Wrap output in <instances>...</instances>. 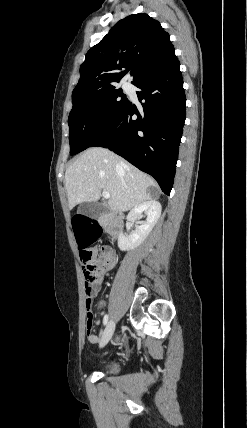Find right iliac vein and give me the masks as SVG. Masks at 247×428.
I'll return each instance as SVG.
<instances>
[{"label": "right iliac vein", "mask_w": 247, "mask_h": 428, "mask_svg": "<svg viewBox=\"0 0 247 428\" xmlns=\"http://www.w3.org/2000/svg\"><path fill=\"white\" fill-rule=\"evenodd\" d=\"M115 330V322L113 320H110L103 332L101 341H100V347H104L109 340L111 339L113 333Z\"/></svg>", "instance_id": "63e3f726"}]
</instances>
